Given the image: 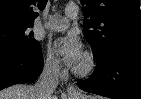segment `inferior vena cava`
Wrapping results in <instances>:
<instances>
[{"label": "inferior vena cava", "mask_w": 141, "mask_h": 99, "mask_svg": "<svg viewBox=\"0 0 141 99\" xmlns=\"http://www.w3.org/2000/svg\"><path fill=\"white\" fill-rule=\"evenodd\" d=\"M59 65L46 63L35 84L36 91L41 95V99H50L51 94L56 90L59 82Z\"/></svg>", "instance_id": "inferior-vena-cava-1"}]
</instances>
